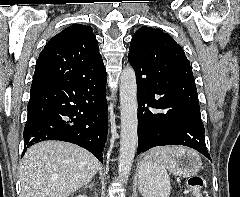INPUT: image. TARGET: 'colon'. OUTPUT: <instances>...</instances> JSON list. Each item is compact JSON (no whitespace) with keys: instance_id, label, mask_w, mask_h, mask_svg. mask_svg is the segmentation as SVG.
Instances as JSON below:
<instances>
[{"instance_id":"1","label":"colon","mask_w":240,"mask_h":197,"mask_svg":"<svg viewBox=\"0 0 240 197\" xmlns=\"http://www.w3.org/2000/svg\"><path fill=\"white\" fill-rule=\"evenodd\" d=\"M204 180L200 175H193L188 179V192L191 197H202Z\"/></svg>"}]
</instances>
